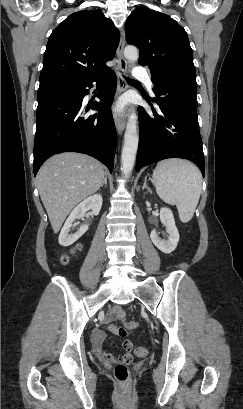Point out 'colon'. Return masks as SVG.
<instances>
[{
    "instance_id": "1",
    "label": "colon",
    "mask_w": 243,
    "mask_h": 409,
    "mask_svg": "<svg viewBox=\"0 0 243 409\" xmlns=\"http://www.w3.org/2000/svg\"><path fill=\"white\" fill-rule=\"evenodd\" d=\"M80 246H77V249H79ZM61 264H67L68 263V257L67 256H63L60 260ZM125 315H129V312L125 313ZM110 330L115 333L117 336L119 337H124L127 334L126 329H124L121 326H114L111 325L110 326ZM135 353L136 355L140 356V357H144L147 355L148 350L145 347L142 346H138L135 349ZM114 375L115 378L117 379V381L122 384L127 386L128 382H129V378H130V372L129 369L127 367V365L125 363H119L116 365L115 369H114Z\"/></svg>"
}]
</instances>
